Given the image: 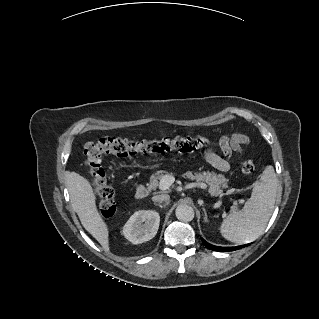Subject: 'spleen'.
Here are the masks:
<instances>
[{
  "instance_id": "3e777b00",
  "label": "spleen",
  "mask_w": 319,
  "mask_h": 319,
  "mask_svg": "<svg viewBox=\"0 0 319 319\" xmlns=\"http://www.w3.org/2000/svg\"><path fill=\"white\" fill-rule=\"evenodd\" d=\"M278 186L274 168L269 165L262 172L243 208L230 213L221 223L222 236L238 244L258 238L272 215Z\"/></svg>"
}]
</instances>
